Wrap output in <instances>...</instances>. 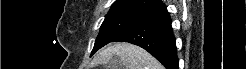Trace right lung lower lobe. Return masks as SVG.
Instances as JSON below:
<instances>
[{
    "label": "right lung lower lobe",
    "instance_id": "1",
    "mask_svg": "<svg viewBox=\"0 0 246 69\" xmlns=\"http://www.w3.org/2000/svg\"><path fill=\"white\" fill-rule=\"evenodd\" d=\"M142 21L126 30L112 42L124 41L138 45L167 69H178V57L171 19L163 4L142 15Z\"/></svg>",
    "mask_w": 246,
    "mask_h": 69
}]
</instances>
